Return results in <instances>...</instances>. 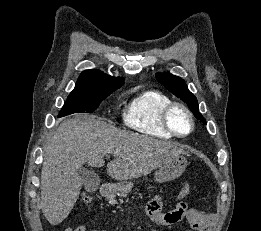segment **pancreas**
<instances>
[{
    "label": "pancreas",
    "instance_id": "cf45deb5",
    "mask_svg": "<svg viewBox=\"0 0 261 231\" xmlns=\"http://www.w3.org/2000/svg\"><path fill=\"white\" fill-rule=\"evenodd\" d=\"M131 191V187H125L124 189H123V191H122V193H121V197H125V196H127V193H129Z\"/></svg>",
    "mask_w": 261,
    "mask_h": 231
}]
</instances>
